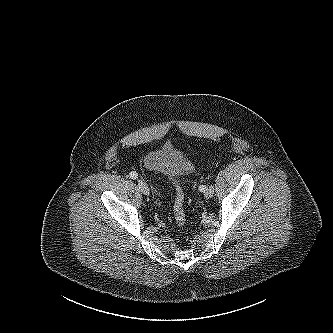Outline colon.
Returning a JSON list of instances; mask_svg holds the SVG:
<instances>
[{
    "instance_id": "obj_1",
    "label": "colon",
    "mask_w": 333,
    "mask_h": 333,
    "mask_svg": "<svg viewBox=\"0 0 333 333\" xmlns=\"http://www.w3.org/2000/svg\"><path fill=\"white\" fill-rule=\"evenodd\" d=\"M176 188V197L174 202V217L178 226L183 227L186 224V212L184 208L185 197L182 188L173 181Z\"/></svg>"
}]
</instances>
